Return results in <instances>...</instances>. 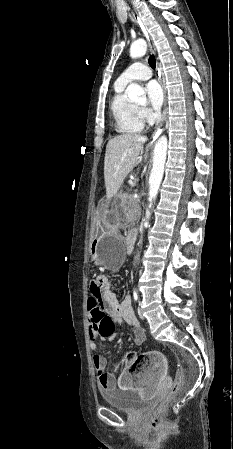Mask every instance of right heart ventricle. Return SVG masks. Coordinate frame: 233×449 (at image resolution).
I'll use <instances>...</instances> for the list:
<instances>
[{"label":"right heart ventricle","mask_w":233,"mask_h":449,"mask_svg":"<svg viewBox=\"0 0 233 449\" xmlns=\"http://www.w3.org/2000/svg\"><path fill=\"white\" fill-rule=\"evenodd\" d=\"M126 85L115 83L110 110L115 129L120 134H137L143 131L145 119L140 109L125 94Z\"/></svg>","instance_id":"e07e8e85"}]
</instances>
